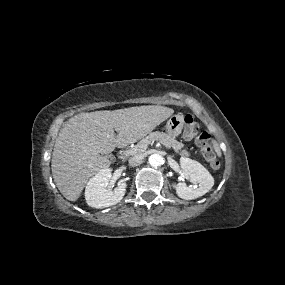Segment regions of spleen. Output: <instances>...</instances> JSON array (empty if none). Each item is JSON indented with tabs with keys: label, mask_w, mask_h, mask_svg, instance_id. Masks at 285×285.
<instances>
[{
	"label": "spleen",
	"mask_w": 285,
	"mask_h": 285,
	"mask_svg": "<svg viewBox=\"0 0 285 285\" xmlns=\"http://www.w3.org/2000/svg\"><path fill=\"white\" fill-rule=\"evenodd\" d=\"M214 149H215L217 155L220 156L221 155V151H220V149H219L217 144H215Z\"/></svg>",
	"instance_id": "obj_1"
}]
</instances>
